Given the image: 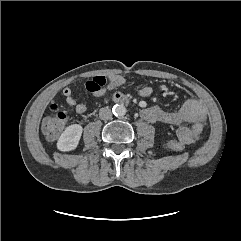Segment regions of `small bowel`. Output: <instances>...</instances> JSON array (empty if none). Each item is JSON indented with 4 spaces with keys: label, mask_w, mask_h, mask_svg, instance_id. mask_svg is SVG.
<instances>
[{
    "label": "small bowel",
    "mask_w": 241,
    "mask_h": 241,
    "mask_svg": "<svg viewBox=\"0 0 241 241\" xmlns=\"http://www.w3.org/2000/svg\"><path fill=\"white\" fill-rule=\"evenodd\" d=\"M110 82L115 84L116 88L125 86V79L121 76L110 77ZM68 105L76 108L79 114H83L88 110L85 103L77 104L73 92L69 87L63 90ZM140 96L147 97L151 94V88L143 85L139 91ZM141 117L148 122H164L177 127L178 139L185 144L195 143L201 133H194L193 126L201 124L203 126L206 121V109L202 102L196 98L187 99L179 108L168 110L161 106H152L144 108L141 111Z\"/></svg>",
    "instance_id": "small-bowel-1"
}]
</instances>
